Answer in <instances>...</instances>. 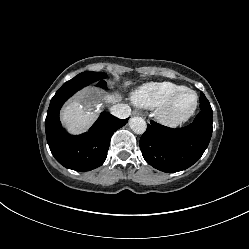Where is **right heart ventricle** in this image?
<instances>
[{
	"mask_svg": "<svg viewBox=\"0 0 249 249\" xmlns=\"http://www.w3.org/2000/svg\"><path fill=\"white\" fill-rule=\"evenodd\" d=\"M181 87L183 86L170 81L148 82L132 93V100L140 107L157 108L171 93Z\"/></svg>",
	"mask_w": 249,
	"mask_h": 249,
	"instance_id": "e07e8e85",
	"label": "right heart ventricle"
}]
</instances>
